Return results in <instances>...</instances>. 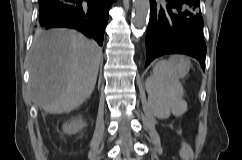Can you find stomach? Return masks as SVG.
I'll use <instances>...</instances> for the list:
<instances>
[{
  "label": "stomach",
  "instance_id": "1",
  "mask_svg": "<svg viewBox=\"0 0 242 160\" xmlns=\"http://www.w3.org/2000/svg\"><path fill=\"white\" fill-rule=\"evenodd\" d=\"M189 67H190V65H189L188 62H184V63H182L181 68H182V73H183L184 75L188 72Z\"/></svg>",
  "mask_w": 242,
  "mask_h": 160
}]
</instances>
